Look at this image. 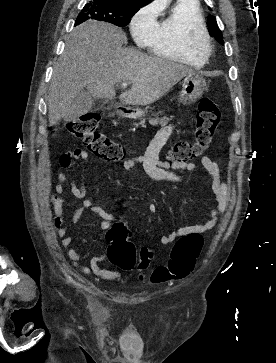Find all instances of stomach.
<instances>
[{"instance_id":"0dacf381","label":"stomach","mask_w":276,"mask_h":363,"mask_svg":"<svg viewBox=\"0 0 276 363\" xmlns=\"http://www.w3.org/2000/svg\"><path fill=\"white\" fill-rule=\"evenodd\" d=\"M205 87L206 81L202 76L198 74L187 75L182 82V90L178 102L186 106L195 103L202 97ZM125 115L131 119H138L145 116V111L140 108H134L127 111Z\"/></svg>"}]
</instances>
